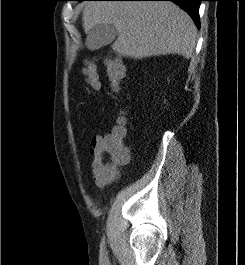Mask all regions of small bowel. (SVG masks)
Listing matches in <instances>:
<instances>
[{
	"mask_svg": "<svg viewBox=\"0 0 245 265\" xmlns=\"http://www.w3.org/2000/svg\"><path fill=\"white\" fill-rule=\"evenodd\" d=\"M103 140H104V136L98 135V136L93 137L91 141V148H90V153L92 154V156L94 155L95 151L100 147V145L103 143ZM92 172H93L94 182L99 188H103L109 183H111L112 178L108 177L104 173L95 169L93 165H92Z\"/></svg>",
	"mask_w": 245,
	"mask_h": 265,
	"instance_id": "obj_1",
	"label": "small bowel"
}]
</instances>
